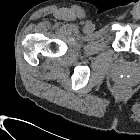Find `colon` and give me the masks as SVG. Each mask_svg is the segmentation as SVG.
Masks as SVG:
<instances>
[{
    "mask_svg": "<svg viewBox=\"0 0 140 140\" xmlns=\"http://www.w3.org/2000/svg\"><path fill=\"white\" fill-rule=\"evenodd\" d=\"M114 91L117 95L124 96L129 93L130 86L128 85V83L121 81L115 85Z\"/></svg>",
    "mask_w": 140,
    "mask_h": 140,
    "instance_id": "5ec220e1",
    "label": "colon"
}]
</instances>
